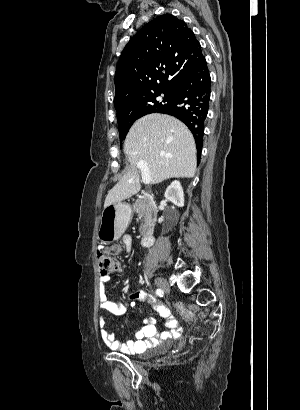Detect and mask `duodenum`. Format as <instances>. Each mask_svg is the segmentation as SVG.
Wrapping results in <instances>:
<instances>
[{
    "label": "duodenum",
    "instance_id": "1",
    "mask_svg": "<svg viewBox=\"0 0 300 410\" xmlns=\"http://www.w3.org/2000/svg\"><path fill=\"white\" fill-rule=\"evenodd\" d=\"M154 240H155V237L153 234H147L141 238L139 246L141 248L150 247L153 245Z\"/></svg>",
    "mask_w": 300,
    "mask_h": 410
}]
</instances>
